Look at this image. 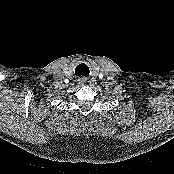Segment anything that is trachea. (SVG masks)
<instances>
[{
  "label": "trachea",
  "instance_id": "1",
  "mask_svg": "<svg viewBox=\"0 0 174 174\" xmlns=\"http://www.w3.org/2000/svg\"><path fill=\"white\" fill-rule=\"evenodd\" d=\"M76 76H87L89 75V68L86 64H79L75 69Z\"/></svg>",
  "mask_w": 174,
  "mask_h": 174
}]
</instances>
